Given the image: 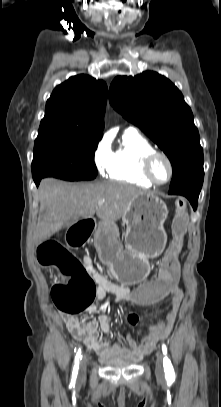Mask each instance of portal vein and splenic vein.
Instances as JSON below:
<instances>
[{
  "label": "portal vein and splenic vein",
  "mask_w": 221,
  "mask_h": 407,
  "mask_svg": "<svg viewBox=\"0 0 221 407\" xmlns=\"http://www.w3.org/2000/svg\"><path fill=\"white\" fill-rule=\"evenodd\" d=\"M104 202H105V200H100V201H98V205H102V204H104Z\"/></svg>",
  "instance_id": "18ae733b"
}]
</instances>
